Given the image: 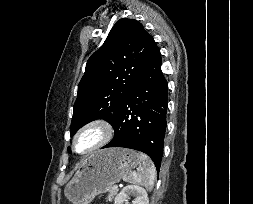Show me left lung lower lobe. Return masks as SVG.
Here are the masks:
<instances>
[{
	"label": "left lung lower lobe",
	"mask_w": 253,
	"mask_h": 204,
	"mask_svg": "<svg viewBox=\"0 0 253 204\" xmlns=\"http://www.w3.org/2000/svg\"><path fill=\"white\" fill-rule=\"evenodd\" d=\"M167 91L168 84L161 71V53L156 47L112 123L114 138L103 148L125 147L142 151L150 156L159 171L167 125Z\"/></svg>",
	"instance_id": "obj_1"
}]
</instances>
